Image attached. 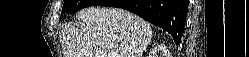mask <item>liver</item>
Returning <instances> with one entry per match:
<instances>
[{
	"label": "liver",
	"mask_w": 249,
	"mask_h": 57,
	"mask_svg": "<svg viewBox=\"0 0 249 57\" xmlns=\"http://www.w3.org/2000/svg\"><path fill=\"white\" fill-rule=\"evenodd\" d=\"M76 17L86 27L65 26L64 57H142L153 36L149 23L120 8L91 6Z\"/></svg>",
	"instance_id": "6515ba94"
}]
</instances>
